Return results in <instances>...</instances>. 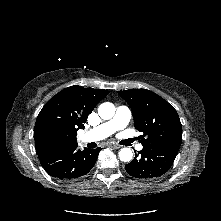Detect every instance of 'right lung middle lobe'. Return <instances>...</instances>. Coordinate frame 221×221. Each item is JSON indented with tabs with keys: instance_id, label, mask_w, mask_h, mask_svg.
I'll return each instance as SVG.
<instances>
[{
	"instance_id": "right-lung-middle-lobe-1",
	"label": "right lung middle lobe",
	"mask_w": 221,
	"mask_h": 221,
	"mask_svg": "<svg viewBox=\"0 0 221 221\" xmlns=\"http://www.w3.org/2000/svg\"><path fill=\"white\" fill-rule=\"evenodd\" d=\"M73 142L74 141L72 139L68 138L66 135L58 131L47 132L44 135V143L47 146H61Z\"/></svg>"
}]
</instances>
